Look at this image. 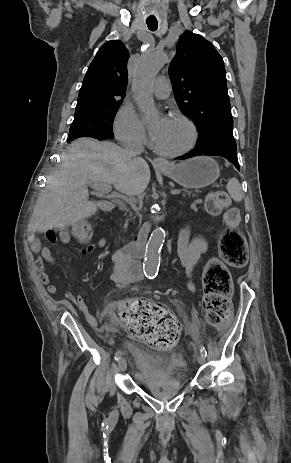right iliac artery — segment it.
I'll list each match as a JSON object with an SVG mask.
<instances>
[{"instance_id":"right-iliac-artery-1","label":"right iliac artery","mask_w":291,"mask_h":463,"mask_svg":"<svg viewBox=\"0 0 291 463\" xmlns=\"http://www.w3.org/2000/svg\"><path fill=\"white\" fill-rule=\"evenodd\" d=\"M121 355H122L121 351L120 350L117 351L115 354V360L118 361L121 358Z\"/></svg>"}]
</instances>
